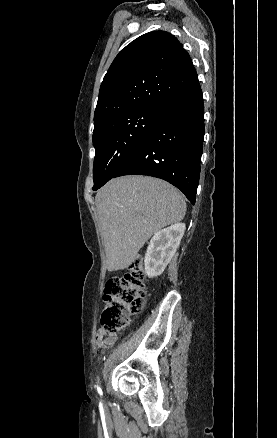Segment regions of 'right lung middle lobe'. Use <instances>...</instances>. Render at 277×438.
Wrapping results in <instances>:
<instances>
[{
    "label": "right lung middle lobe",
    "mask_w": 277,
    "mask_h": 438,
    "mask_svg": "<svg viewBox=\"0 0 277 438\" xmlns=\"http://www.w3.org/2000/svg\"><path fill=\"white\" fill-rule=\"evenodd\" d=\"M160 109L115 115L94 124V186H103L146 139Z\"/></svg>",
    "instance_id": "obj_1"
}]
</instances>
